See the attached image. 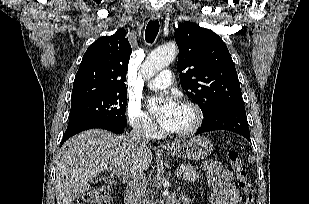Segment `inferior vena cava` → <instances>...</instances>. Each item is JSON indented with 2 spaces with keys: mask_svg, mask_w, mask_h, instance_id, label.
Listing matches in <instances>:
<instances>
[{
  "mask_svg": "<svg viewBox=\"0 0 309 204\" xmlns=\"http://www.w3.org/2000/svg\"><path fill=\"white\" fill-rule=\"evenodd\" d=\"M128 138L132 146L143 151L147 148V144L149 142V130L144 123H137L133 126ZM146 188L147 182L143 175V171L140 170L135 172L126 186V204H141V199L146 192ZM143 204L151 203L149 201H145Z\"/></svg>",
  "mask_w": 309,
  "mask_h": 204,
  "instance_id": "inferior-vena-cava-1",
  "label": "inferior vena cava"
}]
</instances>
